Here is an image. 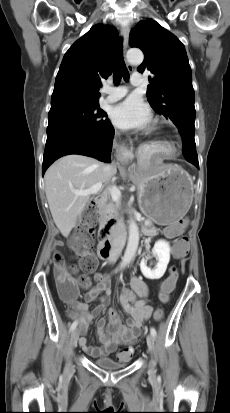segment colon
Listing matches in <instances>:
<instances>
[{
	"mask_svg": "<svg viewBox=\"0 0 230 413\" xmlns=\"http://www.w3.org/2000/svg\"><path fill=\"white\" fill-rule=\"evenodd\" d=\"M97 213L96 209L92 205H88L84 211V222L81 225L79 231L73 236L71 240V246L74 250L80 253L81 268L85 272L92 271L97 266V258L91 253H82V249L92 241V230L96 223ZM178 225L184 226L185 221L180 220ZM190 246V241L185 235H179L174 244L175 257L185 258L187 251L185 248ZM53 273L56 281V286L60 294L66 299L71 300L76 294L78 285H87L88 279L85 275H81L78 278H74L64 261L63 256L58 251L53 253ZM178 280V269L172 266L168 278H161L159 299L162 303L169 301L170 293L175 289ZM163 316L161 309L157 310L155 318L160 320ZM131 357L133 349L128 347L123 350Z\"/></svg>",
	"mask_w": 230,
	"mask_h": 413,
	"instance_id": "5ec220e1",
	"label": "colon"
}]
</instances>
